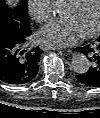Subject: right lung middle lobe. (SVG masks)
Returning <instances> with one entry per match:
<instances>
[{
	"instance_id": "1",
	"label": "right lung middle lobe",
	"mask_w": 100,
	"mask_h": 118,
	"mask_svg": "<svg viewBox=\"0 0 100 118\" xmlns=\"http://www.w3.org/2000/svg\"><path fill=\"white\" fill-rule=\"evenodd\" d=\"M28 0H21L18 6L9 7L5 0H0V40L7 36L21 38L29 29Z\"/></svg>"
}]
</instances>
